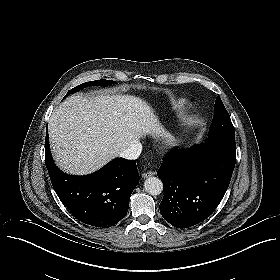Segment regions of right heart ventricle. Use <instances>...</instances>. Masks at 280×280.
<instances>
[{"label":"right heart ventricle","mask_w":280,"mask_h":280,"mask_svg":"<svg viewBox=\"0 0 280 280\" xmlns=\"http://www.w3.org/2000/svg\"><path fill=\"white\" fill-rule=\"evenodd\" d=\"M186 101L183 98H177L174 99L171 103H170V109L171 110H176V109H180L183 106H185Z\"/></svg>","instance_id":"obj_1"}]
</instances>
